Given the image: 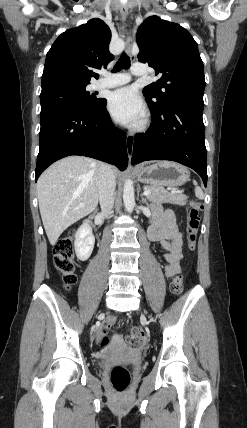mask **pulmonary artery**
I'll use <instances>...</instances> for the list:
<instances>
[{"instance_id": "1", "label": "pulmonary artery", "mask_w": 247, "mask_h": 428, "mask_svg": "<svg viewBox=\"0 0 247 428\" xmlns=\"http://www.w3.org/2000/svg\"><path fill=\"white\" fill-rule=\"evenodd\" d=\"M148 73L145 65L135 63L131 68V74L134 76H144ZM131 74L128 73H116L109 74L106 77L100 79L96 83V88H113L128 83L131 79Z\"/></svg>"}]
</instances>
